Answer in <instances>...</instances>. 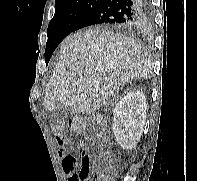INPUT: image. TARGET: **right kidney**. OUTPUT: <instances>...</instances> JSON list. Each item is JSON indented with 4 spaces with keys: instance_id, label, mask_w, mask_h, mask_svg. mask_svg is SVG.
Masks as SVG:
<instances>
[{
    "instance_id": "right-kidney-1",
    "label": "right kidney",
    "mask_w": 197,
    "mask_h": 181,
    "mask_svg": "<svg viewBox=\"0 0 197 181\" xmlns=\"http://www.w3.org/2000/svg\"><path fill=\"white\" fill-rule=\"evenodd\" d=\"M147 102L143 92L132 91L124 96L114 109V136L123 149L137 145L146 120Z\"/></svg>"
}]
</instances>
